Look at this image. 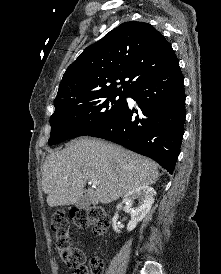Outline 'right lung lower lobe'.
Segmentation results:
<instances>
[{
	"instance_id": "obj_1",
	"label": "right lung lower lobe",
	"mask_w": 221,
	"mask_h": 274,
	"mask_svg": "<svg viewBox=\"0 0 221 274\" xmlns=\"http://www.w3.org/2000/svg\"><path fill=\"white\" fill-rule=\"evenodd\" d=\"M128 97L138 110L126 103L105 126L89 134L120 144L157 161L173 173L180 153L185 123L183 75L177 61L142 82Z\"/></svg>"
}]
</instances>
